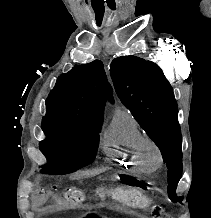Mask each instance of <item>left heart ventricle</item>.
<instances>
[{"label": "left heart ventricle", "instance_id": "left-heart-ventricle-1", "mask_svg": "<svg viewBox=\"0 0 211 218\" xmlns=\"http://www.w3.org/2000/svg\"><path fill=\"white\" fill-rule=\"evenodd\" d=\"M147 154H148L149 163L155 164L153 152H152L151 150H148V151H147Z\"/></svg>", "mask_w": 211, "mask_h": 218}]
</instances>
